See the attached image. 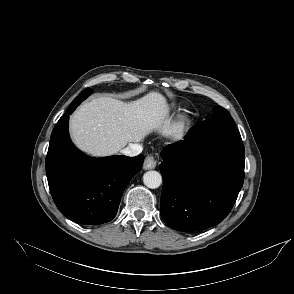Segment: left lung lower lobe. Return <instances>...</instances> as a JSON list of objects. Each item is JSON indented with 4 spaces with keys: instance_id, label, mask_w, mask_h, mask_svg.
<instances>
[{
    "instance_id": "obj_1",
    "label": "left lung lower lobe",
    "mask_w": 294,
    "mask_h": 294,
    "mask_svg": "<svg viewBox=\"0 0 294 294\" xmlns=\"http://www.w3.org/2000/svg\"><path fill=\"white\" fill-rule=\"evenodd\" d=\"M161 215L179 231L220 223L231 211L244 181L245 150L231 116L193 126L183 141L161 152Z\"/></svg>"
}]
</instances>
